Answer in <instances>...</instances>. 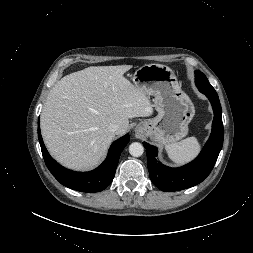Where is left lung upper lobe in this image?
I'll return each instance as SVG.
<instances>
[{
    "label": "left lung upper lobe",
    "instance_id": "5c2ea615",
    "mask_svg": "<svg viewBox=\"0 0 253 253\" xmlns=\"http://www.w3.org/2000/svg\"><path fill=\"white\" fill-rule=\"evenodd\" d=\"M195 83L199 90L204 89L215 92V89L210 85L206 76L198 70L195 71Z\"/></svg>",
    "mask_w": 253,
    "mask_h": 253
}]
</instances>
